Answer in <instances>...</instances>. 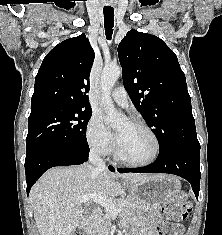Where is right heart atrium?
I'll use <instances>...</instances> for the list:
<instances>
[{"instance_id":"right-heart-atrium-1","label":"right heart atrium","mask_w":222,"mask_h":235,"mask_svg":"<svg viewBox=\"0 0 222 235\" xmlns=\"http://www.w3.org/2000/svg\"><path fill=\"white\" fill-rule=\"evenodd\" d=\"M86 138L89 147L97 154L107 155L114 148L113 135L98 113H94L89 119L86 128Z\"/></svg>"}]
</instances>
